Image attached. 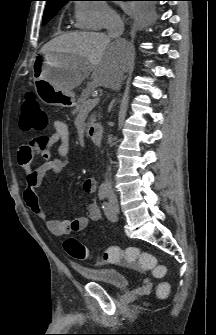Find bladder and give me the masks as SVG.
<instances>
[{
	"instance_id": "1",
	"label": "bladder",
	"mask_w": 216,
	"mask_h": 335,
	"mask_svg": "<svg viewBox=\"0 0 216 335\" xmlns=\"http://www.w3.org/2000/svg\"><path fill=\"white\" fill-rule=\"evenodd\" d=\"M75 271L90 281L98 282L111 288H126L129 284V279L125 272L111 267H75Z\"/></svg>"
}]
</instances>
